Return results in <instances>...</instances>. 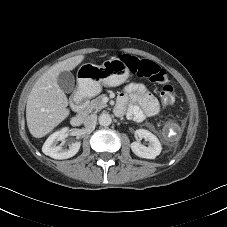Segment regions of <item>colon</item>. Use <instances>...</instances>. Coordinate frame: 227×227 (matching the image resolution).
Masks as SVG:
<instances>
[{
  "instance_id": "colon-1",
  "label": "colon",
  "mask_w": 227,
  "mask_h": 227,
  "mask_svg": "<svg viewBox=\"0 0 227 227\" xmlns=\"http://www.w3.org/2000/svg\"><path fill=\"white\" fill-rule=\"evenodd\" d=\"M124 62L133 75L147 78L152 82L162 84L159 95L164 104L173 105L175 103L176 92L174 87L168 83L167 75L164 69L160 68L152 61H139L133 57L125 58Z\"/></svg>"
}]
</instances>
